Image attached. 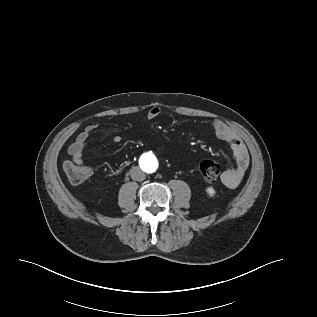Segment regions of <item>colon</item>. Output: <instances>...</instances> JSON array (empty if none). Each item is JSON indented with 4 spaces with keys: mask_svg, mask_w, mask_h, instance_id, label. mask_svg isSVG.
<instances>
[{
    "mask_svg": "<svg viewBox=\"0 0 317 317\" xmlns=\"http://www.w3.org/2000/svg\"><path fill=\"white\" fill-rule=\"evenodd\" d=\"M199 169L203 179L207 182L215 181L222 171L220 163L215 160L202 161ZM64 170L69 181L73 184L85 182L92 174V169L89 166L74 161H66Z\"/></svg>",
    "mask_w": 317,
    "mask_h": 317,
    "instance_id": "colon-1",
    "label": "colon"
}]
</instances>
